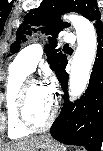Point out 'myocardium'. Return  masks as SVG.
<instances>
[{"label":"myocardium","instance_id":"myocardium-1","mask_svg":"<svg viewBox=\"0 0 103 151\" xmlns=\"http://www.w3.org/2000/svg\"><path fill=\"white\" fill-rule=\"evenodd\" d=\"M32 84H36V85H41V82L37 81V80H27L25 81L18 93V97H17V102H16V120L19 124V126L21 128H23L26 131L29 132H42L45 131L47 129H49L51 127V125L53 124L57 112H58V101L52 97V109H51V113L48 117V120L41 126H36L34 124H32L28 117H27V94H28V90L29 87Z\"/></svg>","mask_w":103,"mask_h":151}]
</instances>
